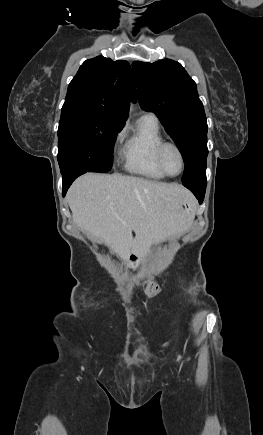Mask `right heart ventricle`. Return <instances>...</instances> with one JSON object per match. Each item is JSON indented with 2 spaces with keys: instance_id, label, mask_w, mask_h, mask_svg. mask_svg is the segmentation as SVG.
<instances>
[{
  "instance_id": "1",
  "label": "right heart ventricle",
  "mask_w": 263,
  "mask_h": 435,
  "mask_svg": "<svg viewBox=\"0 0 263 435\" xmlns=\"http://www.w3.org/2000/svg\"><path fill=\"white\" fill-rule=\"evenodd\" d=\"M163 141L158 121L148 115L141 117L122 149L125 169L145 178L164 179L166 175L156 163V151Z\"/></svg>"
}]
</instances>
